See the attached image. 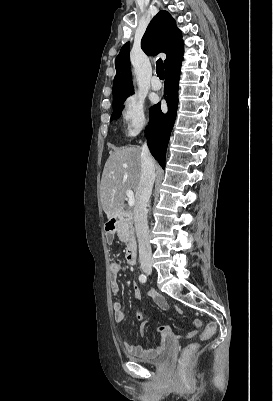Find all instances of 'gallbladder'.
Segmentation results:
<instances>
[{
	"label": "gallbladder",
	"mask_w": 273,
	"mask_h": 401,
	"mask_svg": "<svg viewBox=\"0 0 273 401\" xmlns=\"http://www.w3.org/2000/svg\"><path fill=\"white\" fill-rule=\"evenodd\" d=\"M106 237H107V245L108 246H113L114 245V236H113V232L112 231H107L106 232Z\"/></svg>",
	"instance_id": "bac80fb5"
}]
</instances>
